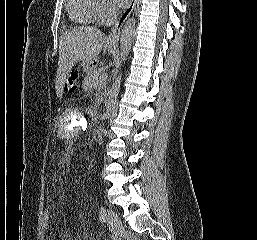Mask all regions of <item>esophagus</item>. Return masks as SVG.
<instances>
[{"label": "esophagus", "mask_w": 257, "mask_h": 240, "mask_svg": "<svg viewBox=\"0 0 257 240\" xmlns=\"http://www.w3.org/2000/svg\"><path fill=\"white\" fill-rule=\"evenodd\" d=\"M137 1L138 0H130L129 5L126 7V9L120 15V17L116 21L115 25L111 29V32L107 37V43L116 44L119 41V37L121 34V27H122L123 23L126 21V19L129 17L131 12L133 11Z\"/></svg>", "instance_id": "1"}]
</instances>
